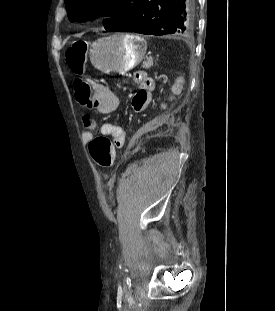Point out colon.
Instances as JSON below:
<instances>
[{
  "mask_svg": "<svg viewBox=\"0 0 275 311\" xmlns=\"http://www.w3.org/2000/svg\"><path fill=\"white\" fill-rule=\"evenodd\" d=\"M87 44L84 41H77L70 45L65 53L66 61L71 71L78 77L75 82L77 101L82 106L89 105L91 101V87L82 79L84 74L85 55ZM115 143L107 136H98L89 144V154L93 162L99 167L109 168L114 164Z\"/></svg>",
  "mask_w": 275,
  "mask_h": 311,
  "instance_id": "1",
  "label": "colon"
}]
</instances>
